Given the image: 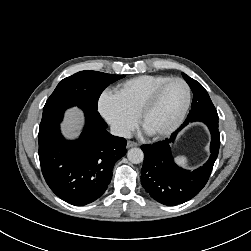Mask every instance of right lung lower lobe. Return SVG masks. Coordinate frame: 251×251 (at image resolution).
I'll list each match as a JSON object with an SVG mask.
<instances>
[{"instance_id": "1", "label": "right lung lower lobe", "mask_w": 251, "mask_h": 251, "mask_svg": "<svg viewBox=\"0 0 251 251\" xmlns=\"http://www.w3.org/2000/svg\"><path fill=\"white\" fill-rule=\"evenodd\" d=\"M78 106L86 125L80 137L67 141L60 123L67 108ZM97 109L65 103L43 110L39 126V159L50 189L69 204L81 206L99 198L112 178L115 162L126 154V140L106 131Z\"/></svg>"}]
</instances>
